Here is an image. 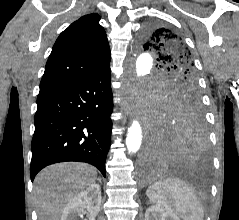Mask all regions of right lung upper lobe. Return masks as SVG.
<instances>
[{
	"mask_svg": "<svg viewBox=\"0 0 239 220\" xmlns=\"http://www.w3.org/2000/svg\"><path fill=\"white\" fill-rule=\"evenodd\" d=\"M98 14L81 17L56 40L40 82V92L66 86L110 64L111 53Z\"/></svg>",
	"mask_w": 239,
	"mask_h": 220,
	"instance_id": "cb5924a9",
	"label": "right lung upper lobe"
}]
</instances>
